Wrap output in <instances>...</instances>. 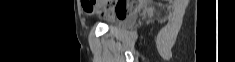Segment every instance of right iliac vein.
Wrapping results in <instances>:
<instances>
[{"instance_id": "right-iliac-vein-1", "label": "right iliac vein", "mask_w": 235, "mask_h": 62, "mask_svg": "<svg viewBox=\"0 0 235 62\" xmlns=\"http://www.w3.org/2000/svg\"><path fill=\"white\" fill-rule=\"evenodd\" d=\"M103 6H105V3H103V4L101 5V7H103Z\"/></svg>"}]
</instances>
